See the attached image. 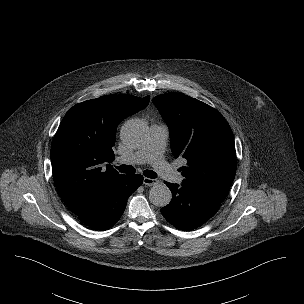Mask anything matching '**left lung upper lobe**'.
Listing matches in <instances>:
<instances>
[{
    "mask_svg": "<svg viewBox=\"0 0 304 304\" xmlns=\"http://www.w3.org/2000/svg\"><path fill=\"white\" fill-rule=\"evenodd\" d=\"M170 131L171 149L187 160L180 168L182 186L224 201L236 173L233 134L225 118L211 106L179 93L153 98Z\"/></svg>",
    "mask_w": 304,
    "mask_h": 304,
    "instance_id": "5c2ea615",
    "label": "left lung upper lobe"
}]
</instances>
